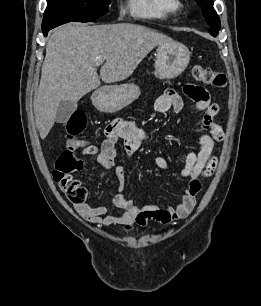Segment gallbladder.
<instances>
[{"label":"gallbladder","instance_id":"1","mask_svg":"<svg viewBox=\"0 0 261 306\" xmlns=\"http://www.w3.org/2000/svg\"><path fill=\"white\" fill-rule=\"evenodd\" d=\"M77 103L70 101H62L57 108L56 122L65 123L70 116L76 111Z\"/></svg>","mask_w":261,"mask_h":306}]
</instances>
